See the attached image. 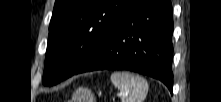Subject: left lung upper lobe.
Instances as JSON below:
<instances>
[{
	"instance_id": "5c2ea615",
	"label": "left lung upper lobe",
	"mask_w": 221,
	"mask_h": 102,
	"mask_svg": "<svg viewBox=\"0 0 221 102\" xmlns=\"http://www.w3.org/2000/svg\"><path fill=\"white\" fill-rule=\"evenodd\" d=\"M130 0H56L43 84L71 77L91 56Z\"/></svg>"
}]
</instances>
